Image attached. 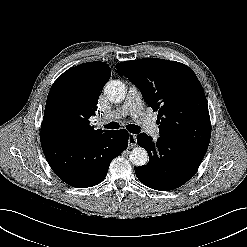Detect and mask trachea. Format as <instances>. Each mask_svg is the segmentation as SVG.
<instances>
[{
    "label": "trachea",
    "instance_id": "trachea-1",
    "mask_svg": "<svg viewBox=\"0 0 247 247\" xmlns=\"http://www.w3.org/2000/svg\"><path fill=\"white\" fill-rule=\"evenodd\" d=\"M120 125L117 122H110L109 124L105 125L107 129H118ZM126 129L133 134H137L140 132V127L134 124H129L126 126Z\"/></svg>",
    "mask_w": 247,
    "mask_h": 247
}]
</instances>
